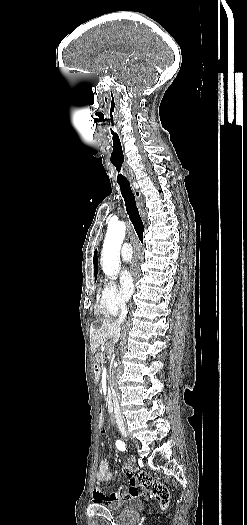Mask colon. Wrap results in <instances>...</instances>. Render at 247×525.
I'll use <instances>...</instances> for the list:
<instances>
[{"mask_svg":"<svg viewBox=\"0 0 247 525\" xmlns=\"http://www.w3.org/2000/svg\"><path fill=\"white\" fill-rule=\"evenodd\" d=\"M106 424H107V421L105 418L103 417H100L96 420V425L99 427V430L101 432H104L106 430Z\"/></svg>","mask_w":247,"mask_h":525,"instance_id":"5ec220e1","label":"colon"}]
</instances>
